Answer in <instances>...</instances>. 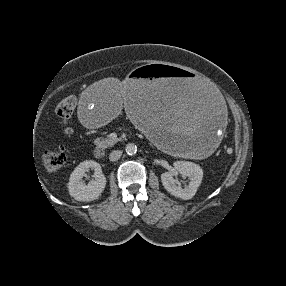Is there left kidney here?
<instances>
[{
    "label": "left kidney",
    "mask_w": 286,
    "mask_h": 286,
    "mask_svg": "<svg viewBox=\"0 0 286 286\" xmlns=\"http://www.w3.org/2000/svg\"><path fill=\"white\" fill-rule=\"evenodd\" d=\"M173 171L164 172L161 174V181L164 188L170 192L173 196L181 198L183 200L191 199L197 192L203 178L202 168L193 162L188 161H176L174 164ZM180 173L184 176L189 177V185L185 188L177 186L174 176Z\"/></svg>",
    "instance_id": "left-kidney-1"
}]
</instances>
